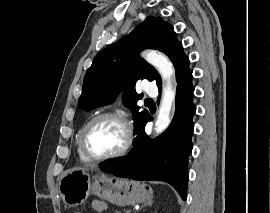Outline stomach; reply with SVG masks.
I'll list each match as a JSON object with an SVG mask.
<instances>
[{
	"label": "stomach",
	"instance_id": "stomach-1",
	"mask_svg": "<svg viewBox=\"0 0 270 213\" xmlns=\"http://www.w3.org/2000/svg\"><path fill=\"white\" fill-rule=\"evenodd\" d=\"M58 191L63 202L70 207L82 204L91 194L119 206L146 203L153 195L152 189L145 183L85 169L65 171Z\"/></svg>",
	"mask_w": 270,
	"mask_h": 213
}]
</instances>
